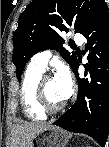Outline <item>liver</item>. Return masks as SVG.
<instances>
[{
  "label": "liver",
  "mask_w": 109,
  "mask_h": 147,
  "mask_svg": "<svg viewBox=\"0 0 109 147\" xmlns=\"http://www.w3.org/2000/svg\"><path fill=\"white\" fill-rule=\"evenodd\" d=\"M51 124L18 122L12 127L9 147H31L33 138Z\"/></svg>",
  "instance_id": "1"
}]
</instances>
